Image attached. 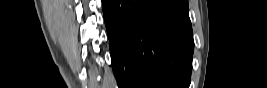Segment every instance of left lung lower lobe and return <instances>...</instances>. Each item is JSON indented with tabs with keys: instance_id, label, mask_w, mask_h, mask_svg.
Segmentation results:
<instances>
[{
	"instance_id": "left-lung-lower-lobe-1",
	"label": "left lung lower lobe",
	"mask_w": 267,
	"mask_h": 88,
	"mask_svg": "<svg viewBox=\"0 0 267 88\" xmlns=\"http://www.w3.org/2000/svg\"><path fill=\"white\" fill-rule=\"evenodd\" d=\"M118 88H189L187 0H102Z\"/></svg>"
}]
</instances>
